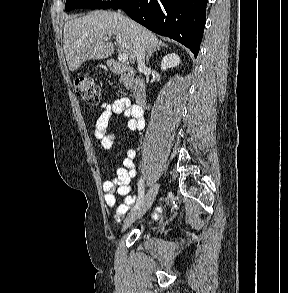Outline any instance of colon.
<instances>
[{"label": "colon", "mask_w": 288, "mask_h": 293, "mask_svg": "<svg viewBox=\"0 0 288 293\" xmlns=\"http://www.w3.org/2000/svg\"><path fill=\"white\" fill-rule=\"evenodd\" d=\"M75 91L79 98L89 104H98L102 93L96 80L89 76L77 78L75 81Z\"/></svg>", "instance_id": "colon-1"}]
</instances>
